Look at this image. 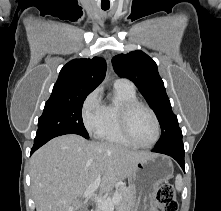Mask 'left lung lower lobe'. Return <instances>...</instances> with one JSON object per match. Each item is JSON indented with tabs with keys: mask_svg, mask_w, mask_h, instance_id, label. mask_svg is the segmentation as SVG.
<instances>
[{
	"mask_svg": "<svg viewBox=\"0 0 221 211\" xmlns=\"http://www.w3.org/2000/svg\"><path fill=\"white\" fill-rule=\"evenodd\" d=\"M152 152L171 156L179 163L181 168L185 171V163H184L185 151H184V146L182 142L166 145L163 147H157V148L152 149Z\"/></svg>",
	"mask_w": 221,
	"mask_h": 211,
	"instance_id": "1",
	"label": "left lung lower lobe"
}]
</instances>
